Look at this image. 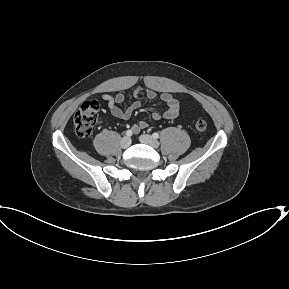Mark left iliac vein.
Listing matches in <instances>:
<instances>
[{
    "instance_id": "obj_1",
    "label": "left iliac vein",
    "mask_w": 289,
    "mask_h": 289,
    "mask_svg": "<svg viewBox=\"0 0 289 289\" xmlns=\"http://www.w3.org/2000/svg\"><path fill=\"white\" fill-rule=\"evenodd\" d=\"M139 139H140V141L142 143L150 145L153 148H158L159 147V142L154 137H152L151 135L143 134V135H141L139 137Z\"/></svg>"
}]
</instances>
